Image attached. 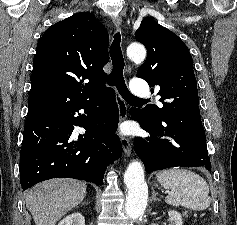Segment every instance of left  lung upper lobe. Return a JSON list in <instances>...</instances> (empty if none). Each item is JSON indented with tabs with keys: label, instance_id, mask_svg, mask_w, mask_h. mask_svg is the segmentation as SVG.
Returning <instances> with one entry per match:
<instances>
[{
	"label": "left lung upper lobe",
	"instance_id": "5c2ea615",
	"mask_svg": "<svg viewBox=\"0 0 237 225\" xmlns=\"http://www.w3.org/2000/svg\"><path fill=\"white\" fill-rule=\"evenodd\" d=\"M135 37L147 49L146 61L137 77L146 80L150 87L160 88L158 95L163 104L161 108L148 105L143 113L156 121L198 105L193 60L184 42L151 18L142 20Z\"/></svg>",
	"mask_w": 237,
	"mask_h": 225
}]
</instances>
